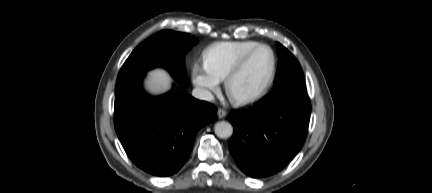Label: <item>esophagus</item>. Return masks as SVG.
<instances>
[{"mask_svg":"<svg viewBox=\"0 0 432 193\" xmlns=\"http://www.w3.org/2000/svg\"><path fill=\"white\" fill-rule=\"evenodd\" d=\"M217 115H218V118L222 119V118L226 117L227 113L222 108H219L217 110Z\"/></svg>","mask_w":432,"mask_h":193,"instance_id":"34e87169","label":"esophagus"}]
</instances>
